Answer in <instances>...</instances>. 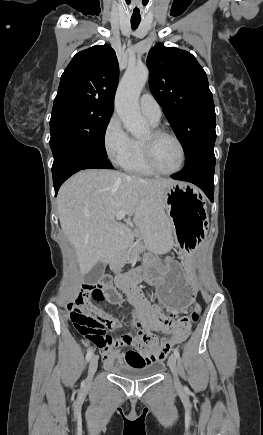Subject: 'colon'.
<instances>
[{
    "mask_svg": "<svg viewBox=\"0 0 263 435\" xmlns=\"http://www.w3.org/2000/svg\"><path fill=\"white\" fill-rule=\"evenodd\" d=\"M183 258V257H182ZM85 293L95 301H114L116 293L112 290L111 279L104 276L97 285L85 286ZM71 319L76 330L88 341L94 343L95 350H163L165 343L160 340L149 328H127L125 333L119 334L114 340L106 334L103 318L94 312L70 305ZM201 314V306L195 304L189 313L178 318V321H191L196 323ZM190 333L185 330L177 339V343L184 341Z\"/></svg>",
    "mask_w": 263,
    "mask_h": 435,
    "instance_id": "obj_1",
    "label": "colon"
}]
</instances>
